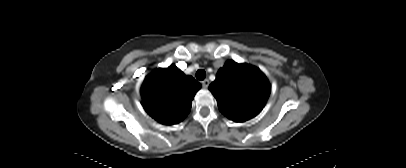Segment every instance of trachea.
Returning <instances> with one entry per match:
<instances>
[{
    "instance_id": "obj_1",
    "label": "trachea",
    "mask_w": 406,
    "mask_h": 168,
    "mask_svg": "<svg viewBox=\"0 0 406 168\" xmlns=\"http://www.w3.org/2000/svg\"><path fill=\"white\" fill-rule=\"evenodd\" d=\"M205 77H206V72H205L204 70L200 69V70H198V71L196 72V78H197V80H204Z\"/></svg>"
}]
</instances>
